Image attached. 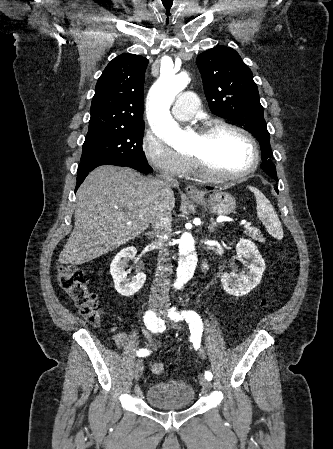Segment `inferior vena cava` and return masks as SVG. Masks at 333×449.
Instances as JSON below:
<instances>
[{
	"mask_svg": "<svg viewBox=\"0 0 333 449\" xmlns=\"http://www.w3.org/2000/svg\"><path fill=\"white\" fill-rule=\"evenodd\" d=\"M163 182L168 185H177V181L171 176L162 175ZM154 228V235L156 237L157 245L159 247L158 266L156 269V278L154 280L150 301L155 302L159 297L168 294L170 287V276L172 273V266L169 257V242L172 237V214L170 207L160 200L152 215L151 221Z\"/></svg>",
	"mask_w": 333,
	"mask_h": 449,
	"instance_id": "602c4592",
	"label": "inferior vena cava"
}]
</instances>
